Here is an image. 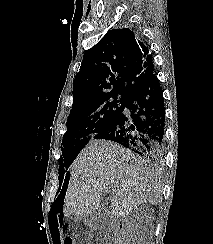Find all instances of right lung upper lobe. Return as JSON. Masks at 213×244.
<instances>
[{"mask_svg":"<svg viewBox=\"0 0 213 244\" xmlns=\"http://www.w3.org/2000/svg\"><path fill=\"white\" fill-rule=\"evenodd\" d=\"M153 73L152 55L142 38L129 28L110 30L84 54L72 108L103 96L130 98Z\"/></svg>","mask_w":213,"mask_h":244,"instance_id":"cb5924a9","label":"right lung upper lobe"}]
</instances>
